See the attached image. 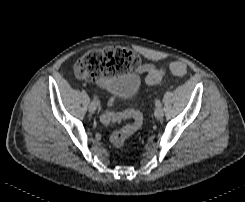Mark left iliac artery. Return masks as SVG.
I'll return each mask as SVG.
<instances>
[{"label": "left iliac artery", "mask_w": 245, "mask_h": 202, "mask_svg": "<svg viewBox=\"0 0 245 202\" xmlns=\"http://www.w3.org/2000/svg\"><path fill=\"white\" fill-rule=\"evenodd\" d=\"M155 106L156 107H161L162 106L160 100H155Z\"/></svg>", "instance_id": "44dca946"}]
</instances>
